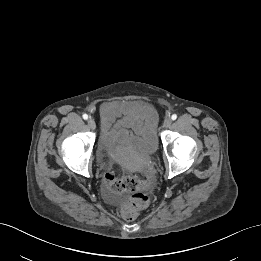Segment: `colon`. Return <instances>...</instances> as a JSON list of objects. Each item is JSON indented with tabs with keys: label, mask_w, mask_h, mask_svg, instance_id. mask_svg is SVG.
I'll return each instance as SVG.
<instances>
[{
	"label": "colon",
	"mask_w": 261,
	"mask_h": 261,
	"mask_svg": "<svg viewBox=\"0 0 261 261\" xmlns=\"http://www.w3.org/2000/svg\"><path fill=\"white\" fill-rule=\"evenodd\" d=\"M151 177L142 176H118L114 172H106L104 183L108 190L115 195L130 194L121 205V214L127 220L134 219L138 212L144 208L149 198L142 191L150 185Z\"/></svg>",
	"instance_id": "1"
}]
</instances>
